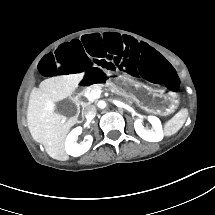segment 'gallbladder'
Wrapping results in <instances>:
<instances>
[{
    "label": "gallbladder",
    "mask_w": 215,
    "mask_h": 215,
    "mask_svg": "<svg viewBox=\"0 0 215 215\" xmlns=\"http://www.w3.org/2000/svg\"><path fill=\"white\" fill-rule=\"evenodd\" d=\"M54 107L56 108V112L62 116L70 118L76 115V104L69 98L57 101Z\"/></svg>",
    "instance_id": "bac80fb5"
}]
</instances>
